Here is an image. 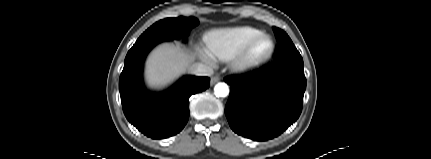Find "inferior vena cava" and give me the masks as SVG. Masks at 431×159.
<instances>
[{
    "mask_svg": "<svg viewBox=\"0 0 431 159\" xmlns=\"http://www.w3.org/2000/svg\"><path fill=\"white\" fill-rule=\"evenodd\" d=\"M190 71L192 74L196 75V76H211L213 75V69L203 63H194L191 67H190Z\"/></svg>",
    "mask_w": 431,
    "mask_h": 159,
    "instance_id": "inferior-vena-cava-1",
    "label": "inferior vena cava"
}]
</instances>
